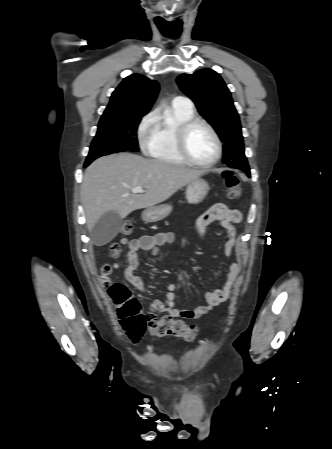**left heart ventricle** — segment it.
I'll list each match as a JSON object with an SVG mask.
<instances>
[{
  "instance_id": "left-heart-ventricle-1",
  "label": "left heart ventricle",
  "mask_w": 332,
  "mask_h": 449,
  "mask_svg": "<svg viewBox=\"0 0 332 449\" xmlns=\"http://www.w3.org/2000/svg\"><path fill=\"white\" fill-rule=\"evenodd\" d=\"M190 155L199 162H209L216 154V144L209 130L203 125L194 126L187 135Z\"/></svg>"
}]
</instances>
